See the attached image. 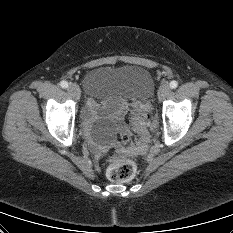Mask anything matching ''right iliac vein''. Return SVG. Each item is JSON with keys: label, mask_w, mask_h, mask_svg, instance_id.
<instances>
[{"label": "right iliac vein", "mask_w": 233, "mask_h": 233, "mask_svg": "<svg viewBox=\"0 0 233 233\" xmlns=\"http://www.w3.org/2000/svg\"><path fill=\"white\" fill-rule=\"evenodd\" d=\"M68 92L72 95L73 98L79 99L80 97V88L77 84L71 83L68 86Z\"/></svg>", "instance_id": "1"}]
</instances>
